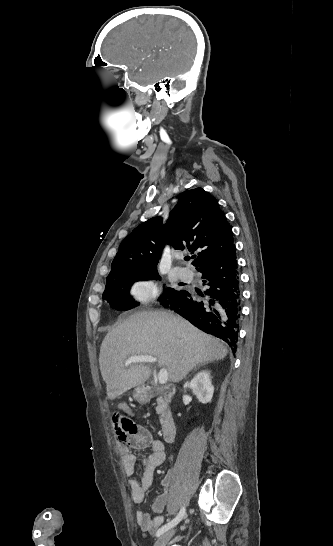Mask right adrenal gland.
I'll use <instances>...</instances> for the list:
<instances>
[{
  "label": "right adrenal gland",
  "instance_id": "obj_1",
  "mask_svg": "<svg viewBox=\"0 0 333 546\" xmlns=\"http://www.w3.org/2000/svg\"><path fill=\"white\" fill-rule=\"evenodd\" d=\"M206 364H207V363H203V364L197 366L194 370H197V368H200L201 366H204V365H206Z\"/></svg>",
  "mask_w": 333,
  "mask_h": 546
}]
</instances>
